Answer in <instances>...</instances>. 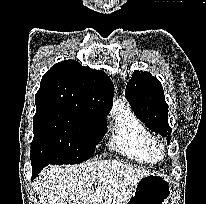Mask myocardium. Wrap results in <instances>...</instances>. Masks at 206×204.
<instances>
[{"label":"myocardium","instance_id":"1","mask_svg":"<svg viewBox=\"0 0 206 204\" xmlns=\"http://www.w3.org/2000/svg\"><path fill=\"white\" fill-rule=\"evenodd\" d=\"M165 151H166V148H165L164 143H162L161 141L155 140L154 145H153V153H154V155L158 159L163 158L164 155H165Z\"/></svg>","mask_w":206,"mask_h":204}]
</instances>
